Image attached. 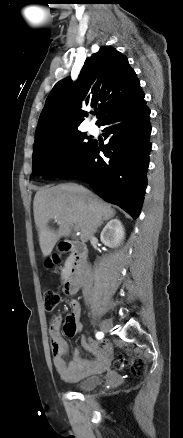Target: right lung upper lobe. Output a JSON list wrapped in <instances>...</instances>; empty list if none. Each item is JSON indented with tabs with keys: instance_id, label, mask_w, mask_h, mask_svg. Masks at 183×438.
<instances>
[{
	"instance_id": "1",
	"label": "right lung upper lobe",
	"mask_w": 183,
	"mask_h": 438,
	"mask_svg": "<svg viewBox=\"0 0 183 438\" xmlns=\"http://www.w3.org/2000/svg\"><path fill=\"white\" fill-rule=\"evenodd\" d=\"M143 92L125 55L113 47H101L87 58L75 83L58 82L46 99L35 140L78 126L88 115L82 106L97 107L99 124L108 114Z\"/></svg>"
}]
</instances>
